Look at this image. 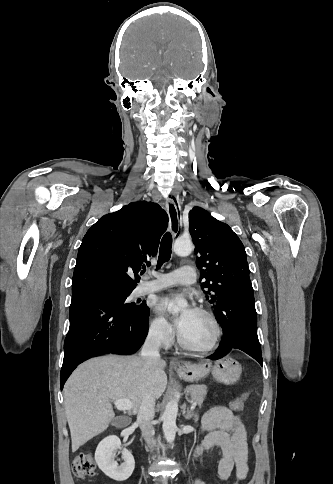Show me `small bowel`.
Segmentation results:
<instances>
[{
    "label": "small bowel",
    "instance_id": "c3829d8e",
    "mask_svg": "<svg viewBox=\"0 0 333 484\" xmlns=\"http://www.w3.org/2000/svg\"><path fill=\"white\" fill-rule=\"evenodd\" d=\"M202 429L209 433L196 449L195 455L219 447L222 452L218 464L219 477L226 480L235 471L237 479H244L248 473V445L247 430L242 417L226 406H217L204 414ZM192 484L205 482L195 480Z\"/></svg>",
    "mask_w": 333,
    "mask_h": 484
}]
</instances>
